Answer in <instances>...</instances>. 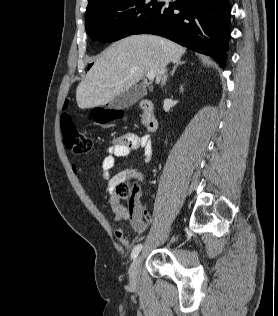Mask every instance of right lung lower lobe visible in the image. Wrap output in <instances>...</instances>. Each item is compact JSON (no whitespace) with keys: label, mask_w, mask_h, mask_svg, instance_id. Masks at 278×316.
<instances>
[{"label":"right lung lower lobe","mask_w":278,"mask_h":316,"mask_svg":"<svg viewBox=\"0 0 278 316\" xmlns=\"http://www.w3.org/2000/svg\"><path fill=\"white\" fill-rule=\"evenodd\" d=\"M228 0H176L161 2L155 14L131 35L156 34L194 51L211 55L225 65L230 37Z\"/></svg>","instance_id":"right-lung-lower-lobe-1"}]
</instances>
